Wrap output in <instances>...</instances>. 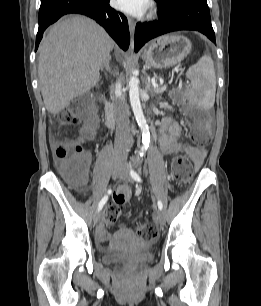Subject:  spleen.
Segmentation results:
<instances>
[{
    "label": "spleen",
    "mask_w": 261,
    "mask_h": 306,
    "mask_svg": "<svg viewBox=\"0 0 261 306\" xmlns=\"http://www.w3.org/2000/svg\"><path fill=\"white\" fill-rule=\"evenodd\" d=\"M186 75L191 81V88L187 91L189 100L201 108H212L216 93V76L212 58L208 55L203 56L195 65L189 67Z\"/></svg>",
    "instance_id": "spleen-1"
}]
</instances>
